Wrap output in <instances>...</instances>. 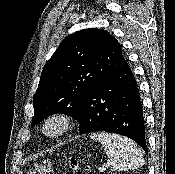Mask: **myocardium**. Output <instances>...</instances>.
<instances>
[{
	"label": "myocardium",
	"instance_id": "myocardium-1",
	"mask_svg": "<svg viewBox=\"0 0 175 174\" xmlns=\"http://www.w3.org/2000/svg\"><path fill=\"white\" fill-rule=\"evenodd\" d=\"M72 118L63 112H55L48 115L42 123V132L51 139H57L65 135L72 127ZM52 125H56V129L52 130Z\"/></svg>",
	"mask_w": 175,
	"mask_h": 174
}]
</instances>
